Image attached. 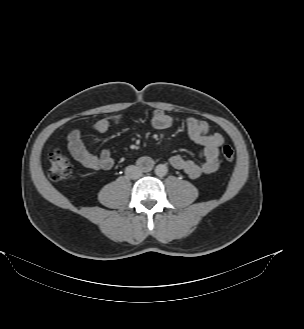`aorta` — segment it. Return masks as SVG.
<instances>
[{
	"label": "aorta",
	"mask_w": 304,
	"mask_h": 329,
	"mask_svg": "<svg viewBox=\"0 0 304 329\" xmlns=\"http://www.w3.org/2000/svg\"><path fill=\"white\" fill-rule=\"evenodd\" d=\"M168 172V168L165 164H159L155 168V174L159 177H163Z\"/></svg>",
	"instance_id": "obj_1"
}]
</instances>
